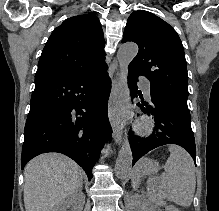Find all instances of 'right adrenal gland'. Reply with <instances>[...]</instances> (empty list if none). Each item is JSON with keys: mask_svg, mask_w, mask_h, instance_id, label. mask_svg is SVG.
Listing matches in <instances>:
<instances>
[{"mask_svg": "<svg viewBox=\"0 0 219 211\" xmlns=\"http://www.w3.org/2000/svg\"><path fill=\"white\" fill-rule=\"evenodd\" d=\"M75 193H82V187H79V189H77V191H75Z\"/></svg>", "mask_w": 219, "mask_h": 211, "instance_id": "2a0ac1e0", "label": "right adrenal gland"}]
</instances>
